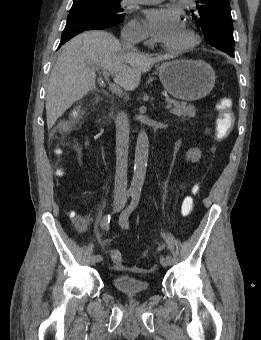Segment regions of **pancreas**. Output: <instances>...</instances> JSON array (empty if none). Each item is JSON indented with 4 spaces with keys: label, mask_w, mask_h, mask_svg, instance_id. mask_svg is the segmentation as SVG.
Returning <instances> with one entry per match:
<instances>
[{
    "label": "pancreas",
    "mask_w": 261,
    "mask_h": 340,
    "mask_svg": "<svg viewBox=\"0 0 261 340\" xmlns=\"http://www.w3.org/2000/svg\"><path fill=\"white\" fill-rule=\"evenodd\" d=\"M166 102L174 105V108L170 110V113H172L173 115L189 118L196 116V109L192 105H188L185 102H179L170 98H167Z\"/></svg>",
    "instance_id": "pancreas-1"
}]
</instances>
